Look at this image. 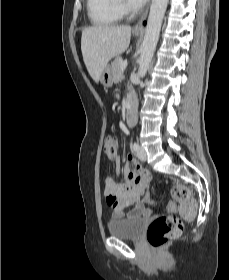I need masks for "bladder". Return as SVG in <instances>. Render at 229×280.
Listing matches in <instances>:
<instances>
[{
    "mask_svg": "<svg viewBox=\"0 0 229 280\" xmlns=\"http://www.w3.org/2000/svg\"><path fill=\"white\" fill-rule=\"evenodd\" d=\"M145 226V218H124L113 220L108 224L111 236L122 239H138Z\"/></svg>",
    "mask_w": 229,
    "mask_h": 280,
    "instance_id": "bladder-1",
    "label": "bladder"
}]
</instances>
